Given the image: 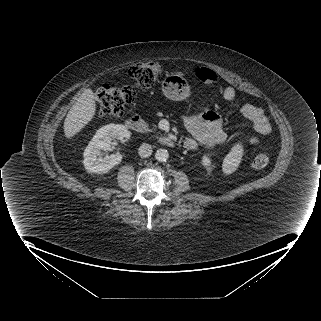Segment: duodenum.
I'll return each instance as SVG.
<instances>
[{
    "instance_id": "1",
    "label": "duodenum",
    "mask_w": 321,
    "mask_h": 321,
    "mask_svg": "<svg viewBox=\"0 0 321 321\" xmlns=\"http://www.w3.org/2000/svg\"><path fill=\"white\" fill-rule=\"evenodd\" d=\"M126 125L129 129L138 132L140 134H146L148 132V126L146 122L138 115L129 117L126 121ZM159 142L166 147H174L175 142L169 136H160Z\"/></svg>"
}]
</instances>
